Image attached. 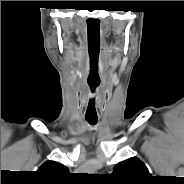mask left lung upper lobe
Returning a JSON list of instances; mask_svg holds the SVG:
<instances>
[{
  "instance_id": "obj_1",
  "label": "left lung upper lobe",
  "mask_w": 184,
  "mask_h": 184,
  "mask_svg": "<svg viewBox=\"0 0 184 184\" xmlns=\"http://www.w3.org/2000/svg\"><path fill=\"white\" fill-rule=\"evenodd\" d=\"M150 176L147 167L135 157L118 163L112 173L117 184H145Z\"/></svg>"
}]
</instances>
